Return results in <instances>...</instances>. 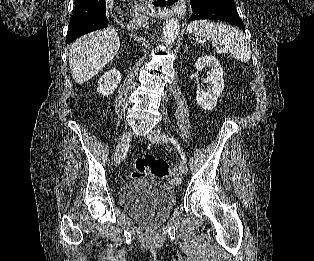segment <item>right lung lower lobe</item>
Here are the masks:
<instances>
[{
  "mask_svg": "<svg viewBox=\"0 0 314 261\" xmlns=\"http://www.w3.org/2000/svg\"><path fill=\"white\" fill-rule=\"evenodd\" d=\"M105 0H76V7L71 17L66 43H71L76 38L106 28L109 21L106 17ZM130 12V8H128Z\"/></svg>",
  "mask_w": 314,
  "mask_h": 261,
  "instance_id": "right-lung-lower-lobe-1",
  "label": "right lung lower lobe"
}]
</instances>
